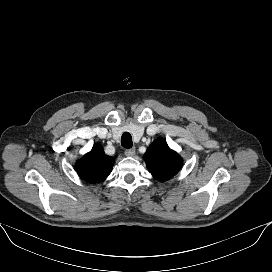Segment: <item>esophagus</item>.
<instances>
[{"mask_svg":"<svg viewBox=\"0 0 272 272\" xmlns=\"http://www.w3.org/2000/svg\"><path fill=\"white\" fill-rule=\"evenodd\" d=\"M125 155L128 157H132L135 155V148H130L125 150Z\"/></svg>","mask_w":272,"mask_h":272,"instance_id":"esophagus-1","label":"esophagus"}]
</instances>
